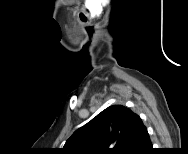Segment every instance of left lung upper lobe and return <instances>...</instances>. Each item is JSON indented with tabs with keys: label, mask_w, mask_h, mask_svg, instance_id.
I'll use <instances>...</instances> for the list:
<instances>
[{
	"label": "left lung upper lobe",
	"mask_w": 188,
	"mask_h": 154,
	"mask_svg": "<svg viewBox=\"0 0 188 154\" xmlns=\"http://www.w3.org/2000/svg\"><path fill=\"white\" fill-rule=\"evenodd\" d=\"M136 114L112 105L76 130L63 150L70 154H127Z\"/></svg>",
	"instance_id": "left-lung-upper-lobe-1"
}]
</instances>
